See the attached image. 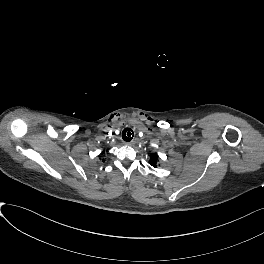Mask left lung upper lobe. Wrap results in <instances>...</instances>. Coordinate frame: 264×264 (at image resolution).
<instances>
[{"mask_svg":"<svg viewBox=\"0 0 264 264\" xmlns=\"http://www.w3.org/2000/svg\"><path fill=\"white\" fill-rule=\"evenodd\" d=\"M157 162H158V156L156 154H151L149 164L156 168Z\"/></svg>","mask_w":264,"mask_h":264,"instance_id":"left-lung-upper-lobe-1","label":"left lung upper lobe"}]
</instances>
